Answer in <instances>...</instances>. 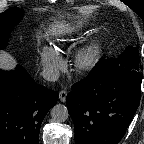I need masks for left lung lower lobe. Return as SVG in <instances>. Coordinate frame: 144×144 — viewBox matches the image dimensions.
I'll list each match as a JSON object with an SVG mask.
<instances>
[{
    "instance_id": "1",
    "label": "left lung lower lobe",
    "mask_w": 144,
    "mask_h": 144,
    "mask_svg": "<svg viewBox=\"0 0 144 144\" xmlns=\"http://www.w3.org/2000/svg\"><path fill=\"white\" fill-rule=\"evenodd\" d=\"M100 60L66 98L75 144H117L140 102L142 74L124 68L107 72Z\"/></svg>"
}]
</instances>
